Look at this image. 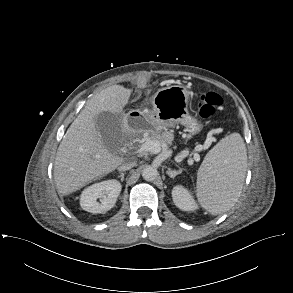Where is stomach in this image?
Masks as SVG:
<instances>
[{
	"label": "stomach",
	"mask_w": 293,
	"mask_h": 293,
	"mask_svg": "<svg viewBox=\"0 0 293 293\" xmlns=\"http://www.w3.org/2000/svg\"><path fill=\"white\" fill-rule=\"evenodd\" d=\"M193 93L184 85H172L158 90L152 97V110L138 111L155 129L184 125L190 135L199 133L202 125L188 111Z\"/></svg>",
	"instance_id": "0dacf381"
}]
</instances>
